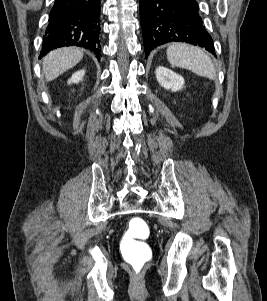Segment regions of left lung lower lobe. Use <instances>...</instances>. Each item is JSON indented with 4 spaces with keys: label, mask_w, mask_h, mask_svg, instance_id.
<instances>
[{
    "label": "left lung lower lobe",
    "mask_w": 267,
    "mask_h": 301,
    "mask_svg": "<svg viewBox=\"0 0 267 301\" xmlns=\"http://www.w3.org/2000/svg\"><path fill=\"white\" fill-rule=\"evenodd\" d=\"M139 8L146 58L154 48L168 42L198 45L216 56L196 0H140Z\"/></svg>",
    "instance_id": "obj_1"
}]
</instances>
